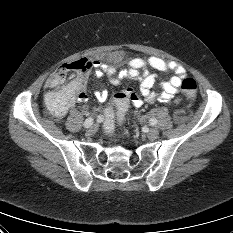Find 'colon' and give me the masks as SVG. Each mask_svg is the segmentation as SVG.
<instances>
[{
    "label": "colon",
    "mask_w": 233,
    "mask_h": 233,
    "mask_svg": "<svg viewBox=\"0 0 233 233\" xmlns=\"http://www.w3.org/2000/svg\"><path fill=\"white\" fill-rule=\"evenodd\" d=\"M91 67V61L84 58L66 63L52 73V84L60 87L64 83L80 82L87 77ZM180 88L188 98H194L197 93V83L193 78L183 79ZM128 107L129 101L124 91L113 96L103 116L106 134H113L115 126L123 121Z\"/></svg>",
    "instance_id": "1"
}]
</instances>
